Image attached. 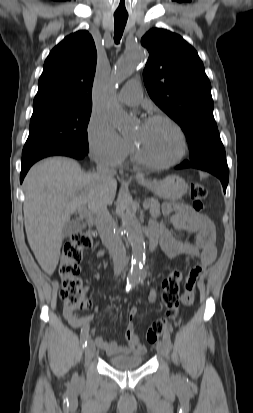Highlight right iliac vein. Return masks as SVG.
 I'll return each instance as SVG.
<instances>
[{
    "mask_svg": "<svg viewBox=\"0 0 253 413\" xmlns=\"http://www.w3.org/2000/svg\"><path fill=\"white\" fill-rule=\"evenodd\" d=\"M95 350L96 349H95L94 341L92 339H89L88 344L86 346V350H85L86 363H89L91 359L94 357Z\"/></svg>",
    "mask_w": 253,
    "mask_h": 413,
    "instance_id": "63e3f726",
    "label": "right iliac vein"
}]
</instances>
